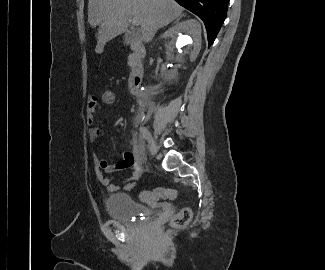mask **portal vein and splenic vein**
Here are the masks:
<instances>
[{
  "instance_id": "obj_1",
  "label": "portal vein and splenic vein",
  "mask_w": 325,
  "mask_h": 270,
  "mask_svg": "<svg viewBox=\"0 0 325 270\" xmlns=\"http://www.w3.org/2000/svg\"><path fill=\"white\" fill-rule=\"evenodd\" d=\"M132 25L134 26H138L140 23H139V20L136 18V17H133L132 19L129 20Z\"/></svg>"
}]
</instances>
